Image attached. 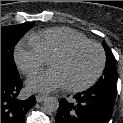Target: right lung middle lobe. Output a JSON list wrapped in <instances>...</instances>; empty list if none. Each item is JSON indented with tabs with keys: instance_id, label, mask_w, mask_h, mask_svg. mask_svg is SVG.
Masks as SVG:
<instances>
[{
	"instance_id": "right-lung-middle-lobe-1",
	"label": "right lung middle lobe",
	"mask_w": 123,
	"mask_h": 123,
	"mask_svg": "<svg viewBox=\"0 0 123 123\" xmlns=\"http://www.w3.org/2000/svg\"><path fill=\"white\" fill-rule=\"evenodd\" d=\"M32 25L33 23L29 22L1 28V71L19 76L18 70L12 59L13 47L20 38L31 29Z\"/></svg>"
}]
</instances>
